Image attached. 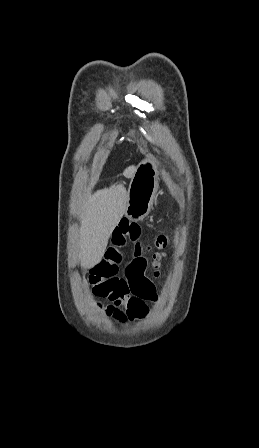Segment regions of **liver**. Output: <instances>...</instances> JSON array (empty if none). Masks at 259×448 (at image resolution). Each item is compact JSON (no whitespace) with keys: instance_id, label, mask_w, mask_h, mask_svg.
<instances>
[{"instance_id":"6515ba94","label":"liver","mask_w":259,"mask_h":448,"mask_svg":"<svg viewBox=\"0 0 259 448\" xmlns=\"http://www.w3.org/2000/svg\"><path fill=\"white\" fill-rule=\"evenodd\" d=\"M137 168H129L125 176L132 178ZM127 192L123 184L97 190L87 198L80 212L79 258L84 268L101 262L112 232L126 212Z\"/></svg>"}]
</instances>
